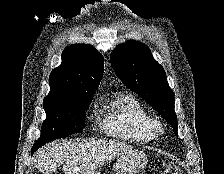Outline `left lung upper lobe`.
Here are the masks:
<instances>
[{"label":"left lung upper lobe","instance_id":"left-lung-upper-lobe-1","mask_svg":"<svg viewBox=\"0 0 224 174\" xmlns=\"http://www.w3.org/2000/svg\"><path fill=\"white\" fill-rule=\"evenodd\" d=\"M110 58L123 84L146 100L178 135L174 93L163 67L154 60L148 47L140 42L128 41L115 48Z\"/></svg>","mask_w":224,"mask_h":174}]
</instances>
